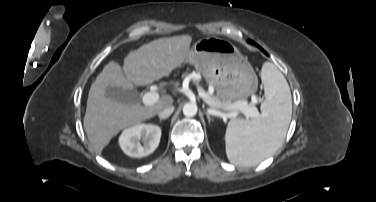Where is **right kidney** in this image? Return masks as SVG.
Segmentation results:
<instances>
[{"label": "right kidney", "mask_w": 376, "mask_h": 202, "mask_svg": "<svg viewBox=\"0 0 376 202\" xmlns=\"http://www.w3.org/2000/svg\"><path fill=\"white\" fill-rule=\"evenodd\" d=\"M160 137L159 126L141 123L125 129L120 135L119 144L126 155L140 158L151 154L158 147Z\"/></svg>", "instance_id": "1"}]
</instances>
